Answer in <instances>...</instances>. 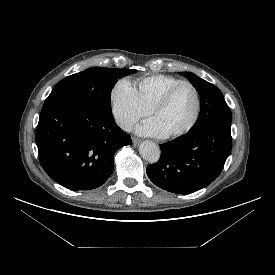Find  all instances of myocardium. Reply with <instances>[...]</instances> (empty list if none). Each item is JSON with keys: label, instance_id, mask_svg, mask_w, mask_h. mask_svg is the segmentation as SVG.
I'll use <instances>...</instances> for the list:
<instances>
[{"label": "myocardium", "instance_id": "1", "mask_svg": "<svg viewBox=\"0 0 275 275\" xmlns=\"http://www.w3.org/2000/svg\"><path fill=\"white\" fill-rule=\"evenodd\" d=\"M183 86L190 87L195 93V97H196L195 113H194V116L192 117L191 121L184 128H182L176 132L166 134L165 135L166 138L173 139V138H178V137H181V136L187 134L195 127V125L197 124V122L200 118V115H201L202 99H201L200 92L197 89V87L189 81H181L180 83H178V84L172 86L170 89H168L162 95V97L154 104V106L151 108V110H150L151 115L154 116L156 114V112H158L159 110H161L162 108L167 106L168 103L170 102V100L172 99L173 95L175 94V92Z\"/></svg>", "mask_w": 275, "mask_h": 275}]
</instances>
